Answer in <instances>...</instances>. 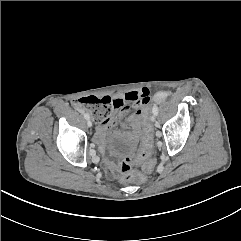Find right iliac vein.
<instances>
[{"label":"right iliac vein","instance_id":"1","mask_svg":"<svg viewBox=\"0 0 241 241\" xmlns=\"http://www.w3.org/2000/svg\"><path fill=\"white\" fill-rule=\"evenodd\" d=\"M87 125H88V127H92V121L90 120V119H87Z\"/></svg>","mask_w":241,"mask_h":241}]
</instances>
